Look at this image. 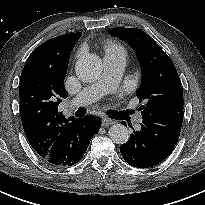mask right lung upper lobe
Masks as SVG:
<instances>
[{"instance_id": "obj_1", "label": "right lung upper lobe", "mask_w": 205, "mask_h": 205, "mask_svg": "<svg viewBox=\"0 0 205 205\" xmlns=\"http://www.w3.org/2000/svg\"><path fill=\"white\" fill-rule=\"evenodd\" d=\"M82 33L58 36L41 44L23 68L20 91V116L26 137L42 158L64 127L75 120L66 119L58 105L67 97L63 81L70 52Z\"/></svg>"}]
</instances>
